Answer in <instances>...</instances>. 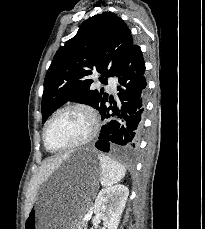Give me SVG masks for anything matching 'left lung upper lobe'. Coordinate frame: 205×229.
Instances as JSON below:
<instances>
[{
    "label": "left lung upper lobe",
    "mask_w": 205,
    "mask_h": 229,
    "mask_svg": "<svg viewBox=\"0 0 205 229\" xmlns=\"http://www.w3.org/2000/svg\"><path fill=\"white\" fill-rule=\"evenodd\" d=\"M125 22L103 12L85 20L78 33L57 50L46 73L42 97V122L68 101L84 103L102 112L108 94L90 90L89 76L97 71L103 84L114 76L132 47L133 38Z\"/></svg>",
    "instance_id": "5c2ea615"
}]
</instances>
